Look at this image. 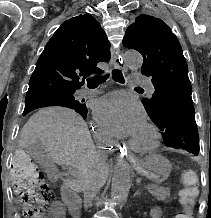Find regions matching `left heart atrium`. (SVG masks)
I'll return each instance as SVG.
<instances>
[{"instance_id":"obj_1","label":"left heart atrium","mask_w":211,"mask_h":218,"mask_svg":"<svg viewBox=\"0 0 211 218\" xmlns=\"http://www.w3.org/2000/svg\"><path fill=\"white\" fill-rule=\"evenodd\" d=\"M94 117L101 130L115 138L134 136L145 127V112L141 104L122 92L97 100Z\"/></svg>"}]
</instances>
